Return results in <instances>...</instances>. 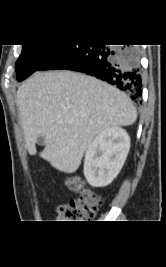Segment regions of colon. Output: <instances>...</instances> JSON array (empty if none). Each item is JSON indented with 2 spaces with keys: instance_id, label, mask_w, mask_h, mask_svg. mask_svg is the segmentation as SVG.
Instances as JSON below:
<instances>
[{
  "instance_id": "obj_1",
  "label": "colon",
  "mask_w": 166,
  "mask_h": 267,
  "mask_svg": "<svg viewBox=\"0 0 166 267\" xmlns=\"http://www.w3.org/2000/svg\"><path fill=\"white\" fill-rule=\"evenodd\" d=\"M72 188L79 196L58 208V218L61 223L82 222L96 215L103 198L77 179L71 180Z\"/></svg>"
}]
</instances>
